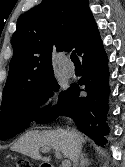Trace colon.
I'll return each mask as SVG.
<instances>
[{
  "mask_svg": "<svg viewBox=\"0 0 125 167\" xmlns=\"http://www.w3.org/2000/svg\"><path fill=\"white\" fill-rule=\"evenodd\" d=\"M16 167H32V164L26 159H21L17 162Z\"/></svg>",
  "mask_w": 125,
  "mask_h": 167,
  "instance_id": "1",
  "label": "colon"
}]
</instances>
